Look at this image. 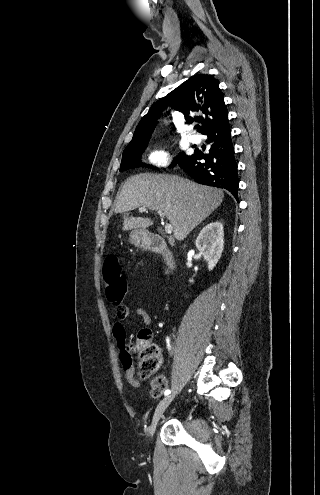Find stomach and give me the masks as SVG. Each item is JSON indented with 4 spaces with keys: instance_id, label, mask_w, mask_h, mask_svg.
I'll return each instance as SVG.
<instances>
[{
    "instance_id": "1",
    "label": "stomach",
    "mask_w": 320,
    "mask_h": 495,
    "mask_svg": "<svg viewBox=\"0 0 320 495\" xmlns=\"http://www.w3.org/2000/svg\"><path fill=\"white\" fill-rule=\"evenodd\" d=\"M129 241L137 247H146L148 245V236L145 231H132L129 236Z\"/></svg>"
}]
</instances>
